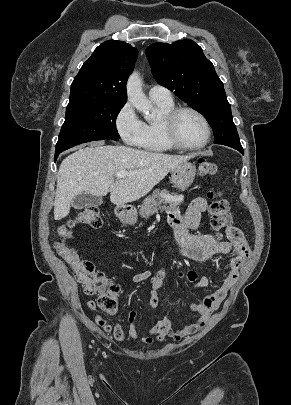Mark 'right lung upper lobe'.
<instances>
[{"instance_id": "1", "label": "right lung upper lobe", "mask_w": 291, "mask_h": 405, "mask_svg": "<svg viewBox=\"0 0 291 405\" xmlns=\"http://www.w3.org/2000/svg\"><path fill=\"white\" fill-rule=\"evenodd\" d=\"M138 51L123 41L108 40L83 64L71 85L69 104L81 102L126 103V82Z\"/></svg>"}]
</instances>
